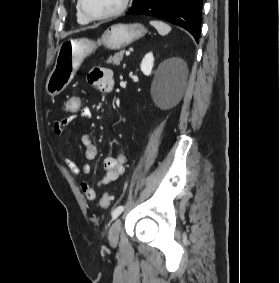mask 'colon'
<instances>
[{"instance_id": "5ec220e1", "label": "colon", "mask_w": 280, "mask_h": 283, "mask_svg": "<svg viewBox=\"0 0 280 283\" xmlns=\"http://www.w3.org/2000/svg\"><path fill=\"white\" fill-rule=\"evenodd\" d=\"M82 94H69L65 99L66 112H81L82 111ZM110 205V196L104 193L100 199V206L102 209H107Z\"/></svg>"}]
</instances>
